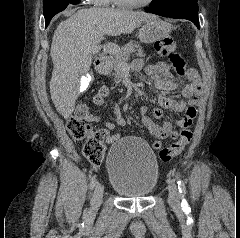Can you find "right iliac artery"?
<instances>
[{"label": "right iliac artery", "instance_id": "82829eb1", "mask_svg": "<svg viewBox=\"0 0 240 238\" xmlns=\"http://www.w3.org/2000/svg\"><path fill=\"white\" fill-rule=\"evenodd\" d=\"M96 184H97V179L95 176H93L90 183L91 189H93L96 186Z\"/></svg>", "mask_w": 240, "mask_h": 238}]
</instances>
